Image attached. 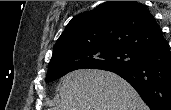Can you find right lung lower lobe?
I'll return each mask as SVG.
<instances>
[{
    "label": "right lung lower lobe",
    "mask_w": 171,
    "mask_h": 110,
    "mask_svg": "<svg viewBox=\"0 0 171 110\" xmlns=\"http://www.w3.org/2000/svg\"><path fill=\"white\" fill-rule=\"evenodd\" d=\"M130 67L112 71L127 80L151 110H171V52L168 42L139 52Z\"/></svg>",
    "instance_id": "1"
}]
</instances>
